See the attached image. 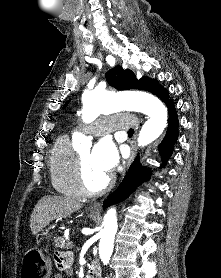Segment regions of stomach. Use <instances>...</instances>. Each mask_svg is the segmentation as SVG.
I'll use <instances>...</instances> for the list:
<instances>
[{"instance_id": "0dacf381", "label": "stomach", "mask_w": 221, "mask_h": 278, "mask_svg": "<svg viewBox=\"0 0 221 278\" xmlns=\"http://www.w3.org/2000/svg\"><path fill=\"white\" fill-rule=\"evenodd\" d=\"M90 215H94L95 211H89ZM49 237V230H45L40 234V240ZM19 275L21 278H49L53 268L51 262L46 257V254H41V251H26L24 264H21Z\"/></svg>"}]
</instances>
